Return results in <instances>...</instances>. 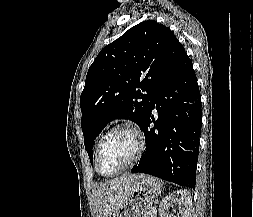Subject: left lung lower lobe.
I'll list each match as a JSON object with an SVG mask.
<instances>
[{
    "mask_svg": "<svg viewBox=\"0 0 253 217\" xmlns=\"http://www.w3.org/2000/svg\"><path fill=\"white\" fill-rule=\"evenodd\" d=\"M154 108L158 112L156 118L151 115ZM201 125L199 87L192 61L185 54L151 100L140 125L146 150L131 172L154 175L195 189Z\"/></svg>",
    "mask_w": 253,
    "mask_h": 217,
    "instance_id": "left-lung-lower-lobe-1",
    "label": "left lung lower lobe"
}]
</instances>
